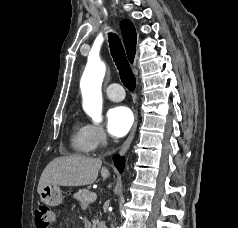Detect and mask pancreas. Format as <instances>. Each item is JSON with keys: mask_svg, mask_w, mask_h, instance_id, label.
Masks as SVG:
<instances>
[{"mask_svg": "<svg viewBox=\"0 0 238 228\" xmlns=\"http://www.w3.org/2000/svg\"><path fill=\"white\" fill-rule=\"evenodd\" d=\"M89 194H91V192L88 191L87 189H80L78 192H76L73 195V197H74V199L79 201L82 206H86L89 203H92L94 201V200H86L85 199ZM92 223H93V228H96V225H98L99 221H98V219H94L92 221Z\"/></svg>", "mask_w": 238, "mask_h": 228, "instance_id": "pancreas-1", "label": "pancreas"}]
</instances>
